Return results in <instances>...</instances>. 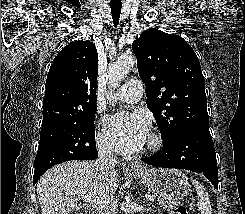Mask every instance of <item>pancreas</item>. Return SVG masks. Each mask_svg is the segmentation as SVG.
Returning a JSON list of instances; mask_svg holds the SVG:
<instances>
[{
  "mask_svg": "<svg viewBox=\"0 0 245 214\" xmlns=\"http://www.w3.org/2000/svg\"><path fill=\"white\" fill-rule=\"evenodd\" d=\"M171 202L166 199L158 198V205L160 207H168ZM100 214H118L117 205H107L100 209Z\"/></svg>",
  "mask_w": 245,
  "mask_h": 214,
  "instance_id": "1",
  "label": "pancreas"
}]
</instances>
